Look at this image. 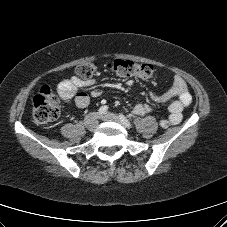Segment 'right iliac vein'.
Masks as SVG:
<instances>
[{
  "label": "right iliac vein",
  "instance_id": "obj_1",
  "mask_svg": "<svg viewBox=\"0 0 227 227\" xmlns=\"http://www.w3.org/2000/svg\"><path fill=\"white\" fill-rule=\"evenodd\" d=\"M100 114L98 113H91L89 114L84 121L85 126L90 129V130H94L97 125H98V121L97 119L100 117Z\"/></svg>",
  "mask_w": 227,
  "mask_h": 227
}]
</instances>
